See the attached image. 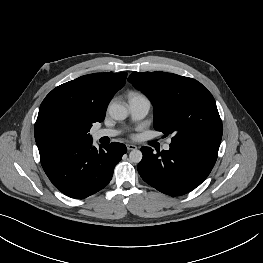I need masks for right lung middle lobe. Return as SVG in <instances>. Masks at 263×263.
<instances>
[{"mask_svg": "<svg viewBox=\"0 0 263 263\" xmlns=\"http://www.w3.org/2000/svg\"><path fill=\"white\" fill-rule=\"evenodd\" d=\"M89 129L80 127H60L56 130L54 144L56 147L65 149L72 145L92 140Z\"/></svg>", "mask_w": 263, "mask_h": 263, "instance_id": "1", "label": "right lung middle lobe"}]
</instances>
